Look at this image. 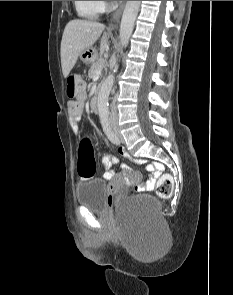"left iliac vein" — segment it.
Segmentation results:
<instances>
[{
	"mask_svg": "<svg viewBox=\"0 0 233 295\" xmlns=\"http://www.w3.org/2000/svg\"><path fill=\"white\" fill-rule=\"evenodd\" d=\"M114 131H115V134H116L117 138L119 139V141H120L121 143H124V138H123V136L120 134L119 130H118L117 128H114Z\"/></svg>",
	"mask_w": 233,
	"mask_h": 295,
	"instance_id": "4c4485c4",
	"label": "left iliac vein"
}]
</instances>
